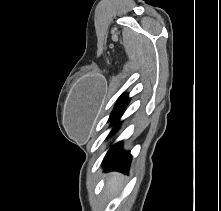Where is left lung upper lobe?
<instances>
[{
	"label": "left lung upper lobe",
	"instance_id": "5c2ea615",
	"mask_svg": "<svg viewBox=\"0 0 221 211\" xmlns=\"http://www.w3.org/2000/svg\"><path fill=\"white\" fill-rule=\"evenodd\" d=\"M129 102V98L127 95H122L117 101L111 115L109 121H111L115 116H117L124 108L127 106Z\"/></svg>",
	"mask_w": 221,
	"mask_h": 211
}]
</instances>
